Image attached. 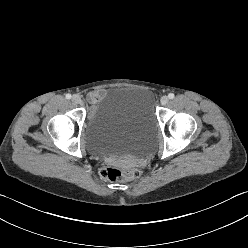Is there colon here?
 Instances as JSON below:
<instances>
[{
	"mask_svg": "<svg viewBox=\"0 0 248 248\" xmlns=\"http://www.w3.org/2000/svg\"><path fill=\"white\" fill-rule=\"evenodd\" d=\"M100 176L105 180L129 181L139 176V170L134 167L123 168L117 165H108L101 169Z\"/></svg>",
	"mask_w": 248,
	"mask_h": 248,
	"instance_id": "5ec220e1",
	"label": "colon"
}]
</instances>
